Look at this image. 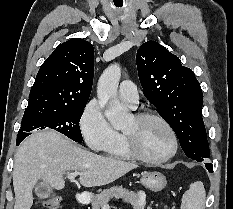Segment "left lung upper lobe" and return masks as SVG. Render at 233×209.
I'll use <instances>...</instances> for the list:
<instances>
[{
    "label": "left lung upper lobe",
    "instance_id": "left-lung-upper-lobe-1",
    "mask_svg": "<svg viewBox=\"0 0 233 209\" xmlns=\"http://www.w3.org/2000/svg\"><path fill=\"white\" fill-rule=\"evenodd\" d=\"M136 62L146 98L175 131L185 155L197 162L208 158L203 94L194 72L155 41L142 44Z\"/></svg>",
    "mask_w": 233,
    "mask_h": 209
}]
</instances>
